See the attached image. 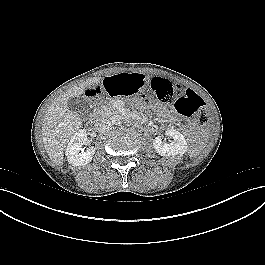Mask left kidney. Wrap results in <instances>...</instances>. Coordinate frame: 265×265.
I'll list each match as a JSON object with an SVG mask.
<instances>
[{
	"label": "left kidney",
	"mask_w": 265,
	"mask_h": 265,
	"mask_svg": "<svg viewBox=\"0 0 265 265\" xmlns=\"http://www.w3.org/2000/svg\"><path fill=\"white\" fill-rule=\"evenodd\" d=\"M165 134L170 136L173 141L166 143L161 136L155 137L153 146L155 151L161 156L183 155L187 151V141L184 136L175 129L166 130Z\"/></svg>",
	"instance_id": "1"
}]
</instances>
